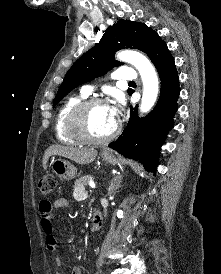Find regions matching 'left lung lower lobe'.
Segmentation results:
<instances>
[{
	"label": "left lung lower lobe",
	"mask_w": 221,
	"mask_h": 274,
	"mask_svg": "<svg viewBox=\"0 0 221 274\" xmlns=\"http://www.w3.org/2000/svg\"><path fill=\"white\" fill-rule=\"evenodd\" d=\"M149 58L161 80L159 100L155 108L143 118L138 117L137 106L131 108L127 127L109 147L127 158L139 160L147 170L155 172L163 140L173 127L180 89L178 72L167 45L164 43Z\"/></svg>",
	"instance_id": "obj_1"
}]
</instances>
